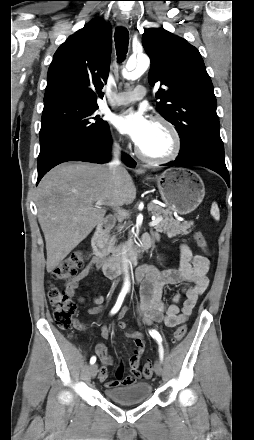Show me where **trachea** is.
<instances>
[{
  "instance_id": "obj_1",
  "label": "trachea",
  "mask_w": 254,
  "mask_h": 440,
  "mask_svg": "<svg viewBox=\"0 0 254 440\" xmlns=\"http://www.w3.org/2000/svg\"><path fill=\"white\" fill-rule=\"evenodd\" d=\"M115 47L117 53L118 62L121 63L126 57L128 52L129 33L124 27H119L115 30L114 34Z\"/></svg>"
}]
</instances>
